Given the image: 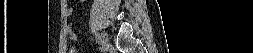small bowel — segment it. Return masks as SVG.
<instances>
[{
	"instance_id": "1",
	"label": "small bowel",
	"mask_w": 253,
	"mask_h": 53,
	"mask_svg": "<svg viewBox=\"0 0 253 53\" xmlns=\"http://www.w3.org/2000/svg\"><path fill=\"white\" fill-rule=\"evenodd\" d=\"M67 33H68V36H69L70 39L76 40L77 35H76V32L74 31L72 25L67 26Z\"/></svg>"
}]
</instances>
